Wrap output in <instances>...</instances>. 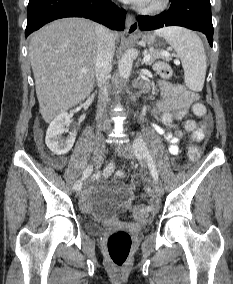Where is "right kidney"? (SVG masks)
<instances>
[{
  "label": "right kidney",
  "instance_id": "ca27d5eb",
  "mask_svg": "<svg viewBox=\"0 0 233 284\" xmlns=\"http://www.w3.org/2000/svg\"><path fill=\"white\" fill-rule=\"evenodd\" d=\"M85 119L82 115L79 122ZM70 123V116L67 112L59 114L49 125L46 133L45 142L47 147L56 155H64L73 147L77 133L69 132V136L64 138L65 126Z\"/></svg>",
  "mask_w": 233,
  "mask_h": 284
}]
</instances>
